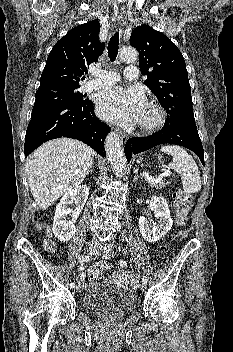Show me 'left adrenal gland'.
<instances>
[{
  "mask_svg": "<svg viewBox=\"0 0 233 352\" xmlns=\"http://www.w3.org/2000/svg\"><path fill=\"white\" fill-rule=\"evenodd\" d=\"M138 169H136L135 171H134V174H135V176H134V181H137V179L139 178V176H138Z\"/></svg>",
  "mask_w": 233,
  "mask_h": 352,
  "instance_id": "1",
  "label": "left adrenal gland"
}]
</instances>
